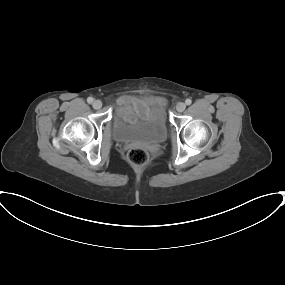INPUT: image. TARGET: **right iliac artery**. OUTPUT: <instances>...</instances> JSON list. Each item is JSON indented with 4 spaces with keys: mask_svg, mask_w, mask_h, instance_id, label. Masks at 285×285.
<instances>
[{
    "mask_svg": "<svg viewBox=\"0 0 285 285\" xmlns=\"http://www.w3.org/2000/svg\"><path fill=\"white\" fill-rule=\"evenodd\" d=\"M93 100H94V99H93L92 97H88V98H87V102H88L89 104H91V103L93 102Z\"/></svg>",
    "mask_w": 285,
    "mask_h": 285,
    "instance_id": "right-iliac-artery-1",
    "label": "right iliac artery"
}]
</instances>
